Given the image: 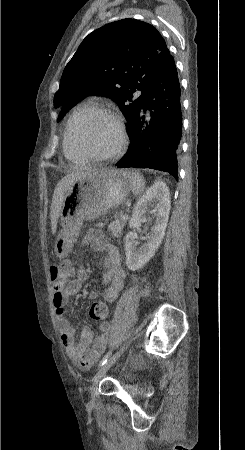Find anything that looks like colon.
Segmentation results:
<instances>
[{"label": "colon", "mask_w": 245, "mask_h": 450, "mask_svg": "<svg viewBox=\"0 0 245 450\" xmlns=\"http://www.w3.org/2000/svg\"><path fill=\"white\" fill-rule=\"evenodd\" d=\"M57 267V266H54ZM144 292H147L146 289H144ZM90 317L95 321H102L107 318L109 311L108 306L105 302L102 301H96L93 302L90 311H89Z\"/></svg>", "instance_id": "obj_1"}]
</instances>
